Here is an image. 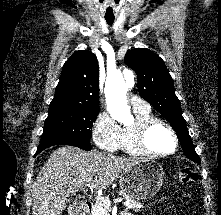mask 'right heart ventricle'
Here are the masks:
<instances>
[{
  "label": "right heart ventricle",
  "mask_w": 221,
  "mask_h": 215,
  "mask_svg": "<svg viewBox=\"0 0 221 215\" xmlns=\"http://www.w3.org/2000/svg\"><path fill=\"white\" fill-rule=\"evenodd\" d=\"M135 123L130 126L121 128V138L119 149L130 155H140V153L133 144V131L137 124L155 118L150 109L147 110H134Z\"/></svg>",
  "instance_id": "e07e8e85"
}]
</instances>
